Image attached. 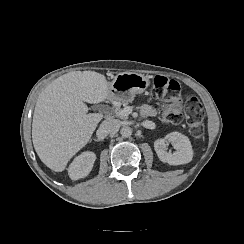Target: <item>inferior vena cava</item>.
I'll return each mask as SVG.
<instances>
[{
    "instance_id": "602c4592",
    "label": "inferior vena cava",
    "mask_w": 244,
    "mask_h": 244,
    "mask_svg": "<svg viewBox=\"0 0 244 244\" xmlns=\"http://www.w3.org/2000/svg\"><path fill=\"white\" fill-rule=\"evenodd\" d=\"M120 124L114 119L104 120L98 129V136L100 138H105L110 134H115L119 131Z\"/></svg>"
}]
</instances>
